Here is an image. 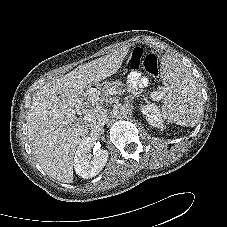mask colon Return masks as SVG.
Returning <instances> with one entry per match:
<instances>
[{"label": "colon", "mask_w": 227, "mask_h": 227, "mask_svg": "<svg viewBox=\"0 0 227 227\" xmlns=\"http://www.w3.org/2000/svg\"><path fill=\"white\" fill-rule=\"evenodd\" d=\"M141 66L151 76H158L159 67L156 55L152 53L145 54L141 48H135L128 55L125 62V68L127 70H136Z\"/></svg>", "instance_id": "5ec220e1"}]
</instances>
